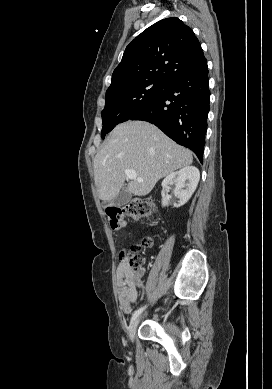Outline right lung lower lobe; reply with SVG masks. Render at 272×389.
<instances>
[{
	"label": "right lung lower lobe",
	"mask_w": 272,
	"mask_h": 389,
	"mask_svg": "<svg viewBox=\"0 0 272 389\" xmlns=\"http://www.w3.org/2000/svg\"><path fill=\"white\" fill-rule=\"evenodd\" d=\"M206 58L167 80L161 92L129 120L148 121L203 162L209 112Z\"/></svg>",
	"instance_id": "98d812e1"
}]
</instances>
